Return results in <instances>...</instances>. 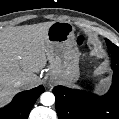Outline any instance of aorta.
Segmentation results:
<instances>
[{
  "label": "aorta",
  "instance_id": "762f6f07",
  "mask_svg": "<svg viewBox=\"0 0 119 119\" xmlns=\"http://www.w3.org/2000/svg\"><path fill=\"white\" fill-rule=\"evenodd\" d=\"M40 101L45 106H51L55 102V96L51 92H44L40 97Z\"/></svg>",
  "mask_w": 119,
  "mask_h": 119
}]
</instances>
